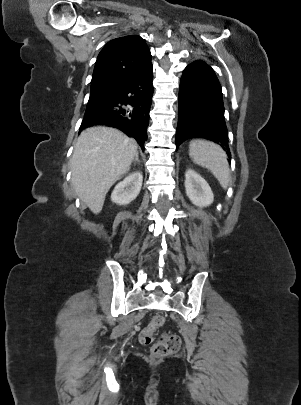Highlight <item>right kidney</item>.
<instances>
[{
	"label": "right kidney",
	"mask_w": 301,
	"mask_h": 405,
	"mask_svg": "<svg viewBox=\"0 0 301 405\" xmlns=\"http://www.w3.org/2000/svg\"><path fill=\"white\" fill-rule=\"evenodd\" d=\"M143 176L139 171L133 172L119 182L112 194L111 201L118 205H127L140 193Z\"/></svg>",
	"instance_id": "ca27d5eb"
}]
</instances>
